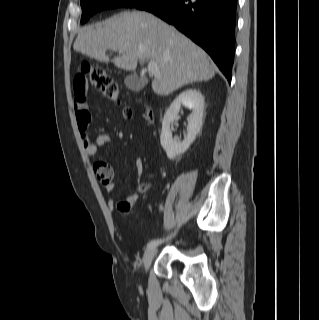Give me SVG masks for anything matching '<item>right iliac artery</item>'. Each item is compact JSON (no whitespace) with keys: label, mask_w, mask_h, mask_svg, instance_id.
<instances>
[{"label":"right iliac artery","mask_w":319,"mask_h":320,"mask_svg":"<svg viewBox=\"0 0 319 320\" xmlns=\"http://www.w3.org/2000/svg\"><path fill=\"white\" fill-rule=\"evenodd\" d=\"M163 241H164V239H154L148 243L147 249H153L156 246H158L159 244H161Z\"/></svg>","instance_id":"obj_1"}]
</instances>
